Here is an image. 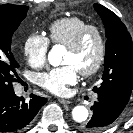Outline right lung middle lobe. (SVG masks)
Here are the masks:
<instances>
[{
  "mask_svg": "<svg viewBox=\"0 0 133 133\" xmlns=\"http://www.w3.org/2000/svg\"><path fill=\"white\" fill-rule=\"evenodd\" d=\"M28 7L24 5L4 4L0 6V95L13 90L16 70L19 64L11 51V39L22 20L26 17Z\"/></svg>",
  "mask_w": 133,
  "mask_h": 133,
  "instance_id": "right-lung-middle-lobe-1",
  "label": "right lung middle lobe"
}]
</instances>
